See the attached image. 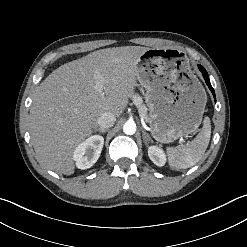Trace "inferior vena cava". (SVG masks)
<instances>
[{"label":"inferior vena cava","instance_id":"obj_1","mask_svg":"<svg viewBox=\"0 0 247 247\" xmlns=\"http://www.w3.org/2000/svg\"><path fill=\"white\" fill-rule=\"evenodd\" d=\"M115 121L116 116L113 113L104 112L99 116L97 123L101 128L107 129L114 126Z\"/></svg>","mask_w":247,"mask_h":247}]
</instances>
